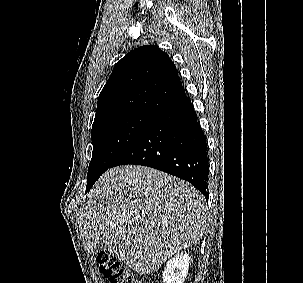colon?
<instances>
[{"instance_id":"colon-1","label":"colon","mask_w":303,"mask_h":283,"mask_svg":"<svg viewBox=\"0 0 303 283\" xmlns=\"http://www.w3.org/2000/svg\"><path fill=\"white\" fill-rule=\"evenodd\" d=\"M97 263L101 273L110 283H144V281L133 275L117 259L107 253L97 256Z\"/></svg>"}]
</instances>
